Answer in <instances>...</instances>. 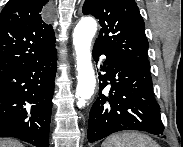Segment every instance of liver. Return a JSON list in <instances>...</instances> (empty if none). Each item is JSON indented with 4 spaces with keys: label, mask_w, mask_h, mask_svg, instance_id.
<instances>
[{
    "label": "liver",
    "mask_w": 183,
    "mask_h": 147,
    "mask_svg": "<svg viewBox=\"0 0 183 147\" xmlns=\"http://www.w3.org/2000/svg\"><path fill=\"white\" fill-rule=\"evenodd\" d=\"M0 147H23V145L12 139H0Z\"/></svg>",
    "instance_id": "1"
}]
</instances>
